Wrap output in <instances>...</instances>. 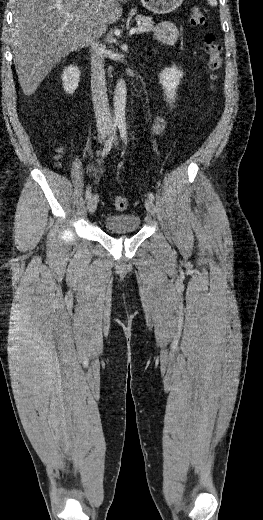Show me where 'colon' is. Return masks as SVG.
Listing matches in <instances>:
<instances>
[{"instance_id": "1", "label": "colon", "mask_w": 263, "mask_h": 520, "mask_svg": "<svg viewBox=\"0 0 263 520\" xmlns=\"http://www.w3.org/2000/svg\"><path fill=\"white\" fill-rule=\"evenodd\" d=\"M188 21L191 25L207 28L208 20L205 14L198 8L193 7L189 13ZM205 52L207 55V67L213 77H216L222 67V47L217 41L213 32H207L205 36ZM127 206L126 199L117 196L114 199V207L116 210H124Z\"/></svg>"}]
</instances>
